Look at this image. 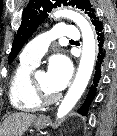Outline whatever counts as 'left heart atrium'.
Listing matches in <instances>:
<instances>
[{
    "mask_svg": "<svg viewBox=\"0 0 117 136\" xmlns=\"http://www.w3.org/2000/svg\"><path fill=\"white\" fill-rule=\"evenodd\" d=\"M72 72L69 59L65 55L53 56L48 65L47 78L49 85L58 93L67 85Z\"/></svg>",
    "mask_w": 117,
    "mask_h": 136,
    "instance_id": "1",
    "label": "left heart atrium"
}]
</instances>
